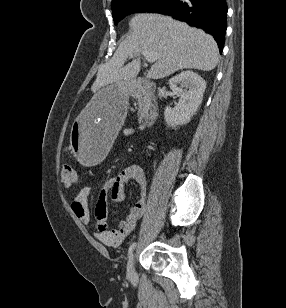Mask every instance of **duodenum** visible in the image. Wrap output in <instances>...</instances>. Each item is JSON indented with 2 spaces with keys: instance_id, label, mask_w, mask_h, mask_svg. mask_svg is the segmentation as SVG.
Listing matches in <instances>:
<instances>
[{
  "instance_id": "duodenum-1",
  "label": "duodenum",
  "mask_w": 286,
  "mask_h": 308,
  "mask_svg": "<svg viewBox=\"0 0 286 308\" xmlns=\"http://www.w3.org/2000/svg\"><path fill=\"white\" fill-rule=\"evenodd\" d=\"M133 87L135 89L144 90L148 93H154L156 91L155 84L147 78H137L133 82ZM159 114V104L156 100H153L150 108L147 119L143 122L142 126L145 127L153 123Z\"/></svg>"
}]
</instances>
